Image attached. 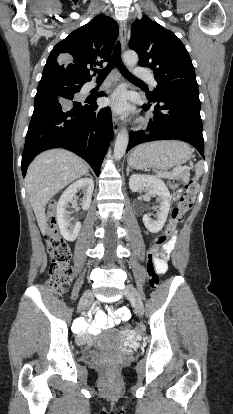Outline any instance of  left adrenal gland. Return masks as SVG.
I'll return each instance as SVG.
<instances>
[{"mask_svg": "<svg viewBox=\"0 0 233 414\" xmlns=\"http://www.w3.org/2000/svg\"><path fill=\"white\" fill-rule=\"evenodd\" d=\"M126 171H127V176H128L129 175V172L131 171V169H130L129 166L127 167Z\"/></svg>", "mask_w": 233, "mask_h": 414, "instance_id": "left-adrenal-gland-1", "label": "left adrenal gland"}]
</instances>
